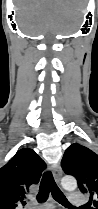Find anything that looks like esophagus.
Wrapping results in <instances>:
<instances>
[{"label":"esophagus","mask_w":98,"mask_h":209,"mask_svg":"<svg viewBox=\"0 0 98 209\" xmlns=\"http://www.w3.org/2000/svg\"><path fill=\"white\" fill-rule=\"evenodd\" d=\"M53 174H54L55 181L57 183H60V180H61V177H62V170H61L60 166H55L54 167Z\"/></svg>","instance_id":"esophagus-1"}]
</instances>
